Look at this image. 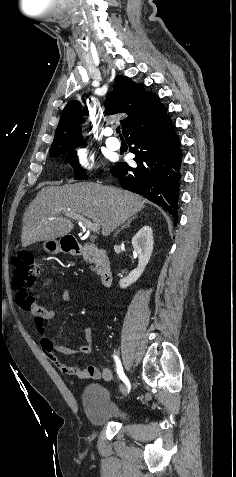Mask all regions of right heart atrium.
I'll list each match as a JSON object with an SVG mask.
<instances>
[{"mask_svg":"<svg viewBox=\"0 0 236 477\" xmlns=\"http://www.w3.org/2000/svg\"><path fill=\"white\" fill-rule=\"evenodd\" d=\"M75 165L80 170H91L95 165L94 156L83 148H78L75 154Z\"/></svg>","mask_w":236,"mask_h":477,"instance_id":"1","label":"right heart atrium"}]
</instances>
